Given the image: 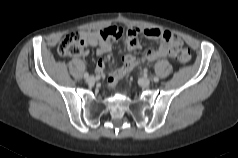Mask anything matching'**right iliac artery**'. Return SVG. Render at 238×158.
<instances>
[{"label":"right iliac artery","mask_w":238,"mask_h":158,"mask_svg":"<svg viewBox=\"0 0 238 158\" xmlns=\"http://www.w3.org/2000/svg\"><path fill=\"white\" fill-rule=\"evenodd\" d=\"M89 74L87 72L84 73V77L88 78Z\"/></svg>","instance_id":"82829eb1"}]
</instances>
